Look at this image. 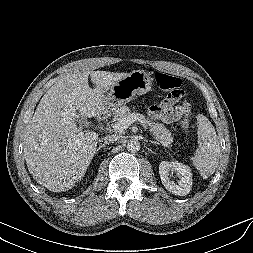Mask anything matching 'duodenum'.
Segmentation results:
<instances>
[{"instance_id":"duodenum-1","label":"duodenum","mask_w":253,"mask_h":253,"mask_svg":"<svg viewBox=\"0 0 253 253\" xmlns=\"http://www.w3.org/2000/svg\"><path fill=\"white\" fill-rule=\"evenodd\" d=\"M102 119H103L102 116H99V117H98V120H99V121H102Z\"/></svg>"}]
</instances>
